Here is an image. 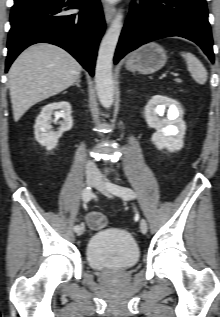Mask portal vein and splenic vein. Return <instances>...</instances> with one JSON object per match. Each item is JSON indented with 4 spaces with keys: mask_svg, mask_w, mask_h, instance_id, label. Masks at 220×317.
<instances>
[{
    "mask_svg": "<svg viewBox=\"0 0 220 317\" xmlns=\"http://www.w3.org/2000/svg\"><path fill=\"white\" fill-rule=\"evenodd\" d=\"M172 75H173L174 77H177V76H178V74H177V73H172Z\"/></svg>",
    "mask_w": 220,
    "mask_h": 317,
    "instance_id": "18ae733b",
    "label": "portal vein and splenic vein"
}]
</instances>
